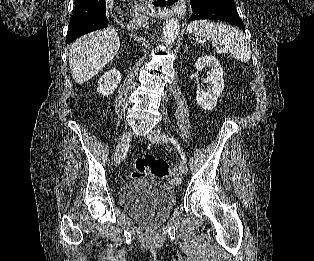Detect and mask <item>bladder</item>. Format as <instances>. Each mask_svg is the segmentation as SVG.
I'll return each mask as SVG.
<instances>
[{
	"mask_svg": "<svg viewBox=\"0 0 314 261\" xmlns=\"http://www.w3.org/2000/svg\"><path fill=\"white\" fill-rule=\"evenodd\" d=\"M123 209L145 225L163 223L176 204L175 189L155 180H133L120 189Z\"/></svg>",
	"mask_w": 314,
	"mask_h": 261,
	"instance_id": "1",
	"label": "bladder"
}]
</instances>
